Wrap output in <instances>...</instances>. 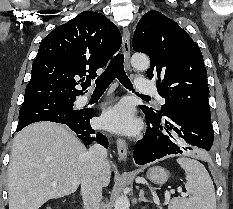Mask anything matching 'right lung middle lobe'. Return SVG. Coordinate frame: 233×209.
I'll return each instance as SVG.
<instances>
[{
	"label": "right lung middle lobe",
	"instance_id": "right-lung-middle-lobe-1",
	"mask_svg": "<svg viewBox=\"0 0 233 209\" xmlns=\"http://www.w3.org/2000/svg\"><path fill=\"white\" fill-rule=\"evenodd\" d=\"M75 99H46L23 103L19 111L18 126H27L38 121L63 123L76 119L82 110H74Z\"/></svg>",
	"mask_w": 233,
	"mask_h": 209
}]
</instances>
